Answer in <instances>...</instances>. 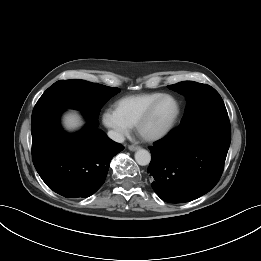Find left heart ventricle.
<instances>
[{
    "label": "left heart ventricle",
    "mask_w": 261,
    "mask_h": 261,
    "mask_svg": "<svg viewBox=\"0 0 261 261\" xmlns=\"http://www.w3.org/2000/svg\"><path fill=\"white\" fill-rule=\"evenodd\" d=\"M175 112V103L171 99H164L157 106L153 116L146 124L144 131L153 133L163 128Z\"/></svg>",
    "instance_id": "obj_1"
}]
</instances>
